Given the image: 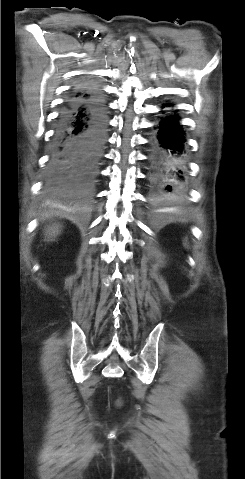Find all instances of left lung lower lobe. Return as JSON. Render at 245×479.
<instances>
[{"mask_svg":"<svg viewBox=\"0 0 245 479\" xmlns=\"http://www.w3.org/2000/svg\"><path fill=\"white\" fill-rule=\"evenodd\" d=\"M170 106V105H169ZM176 114L162 118L152 140L150 182L152 196L157 201L175 199L184 191V133Z\"/></svg>","mask_w":245,"mask_h":479,"instance_id":"obj_1","label":"left lung lower lobe"}]
</instances>
